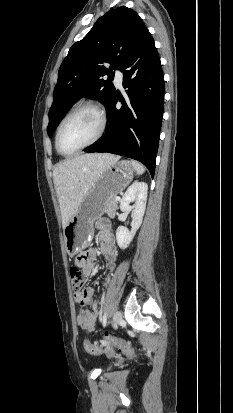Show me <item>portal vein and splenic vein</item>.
Segmentation results:
<instances>
[{
	"label": "portal vein and splenic vein",
	"instance_id": "1",
	"mask_svg": "<svg viewBox=\"0 0 233 413\" xmlns=\"http://www.w3.org/2000/svg\"><path fill=\"white\" fill-rule=\"evenodd\" d=\"M115 199H116V201H119V200H120V197H116Z\"/></svg>",
	"mask_w": 233,
	"mask_h": 413
}]
</instances>
